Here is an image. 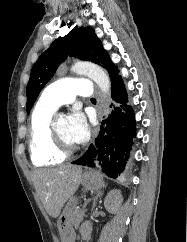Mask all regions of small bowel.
Instances as JSON below:
<instances>
[{"instance_id": "c3829d8e", "label": "small bowel", "mask_w": 187, "mask_h": 242, "mask_svg": "<svg viewBox=\"0 0 187 242\" xmlns=\"http://www.w3.org/2000/svg\"><path fill=\"white\" fill-rule=\"evenodd\" d=\"M80 232L83 238L86 236L89 237L91 234V227L88 224H84L81 226Z\"/></svg>"}]
</instances>
